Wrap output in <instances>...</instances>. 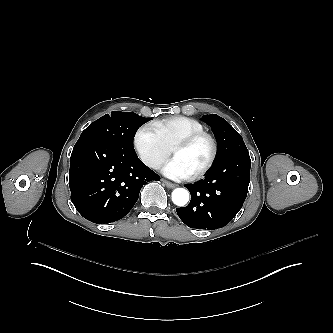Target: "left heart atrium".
<instances>
[{
	"label": "left heart atrium",
	"instance_id": "39dd6f15",
	"mask_svg": "<svg viewBox=\"0 0 333 333\" xmlns=\"http://www.w3.org/2000/svg\"><path fill=\"white\" fill-rule=\"evenodd\" d=\"M162 173L175 180H186L191 175L175 158H171L162 168Z\"/></svg>",
	"mask_w": 333,
	"mask_h": 333
}]
</instances>
